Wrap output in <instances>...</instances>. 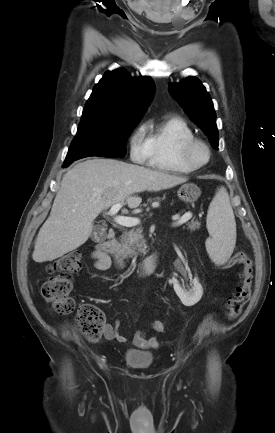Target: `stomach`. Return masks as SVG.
I'll return each instance as SVG.
<instances>
[{
	"mask_svg": "<svg viewBox=\"0 0 275 433\" xmlns=\"http://www.w3.org/2000/svg\"><path fill=\"white\" fill-rule=\"evenodd\" d=\"M177 194L180 200L187 203H192L197 201V199L200 197L201 190L197 185L193 183H187L183 184L178 189Z\"/></svg>",
	"mask_w": 275,
	"mask_h": 433,
	"instance_id": "0dacf381",
	"label": "stomach"
}]
</instances>
